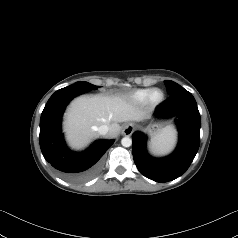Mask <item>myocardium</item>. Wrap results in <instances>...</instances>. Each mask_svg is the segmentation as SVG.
I'll return each instance as SVG.
<instances>
[{"label":"myocardium","instance_id":"f54148a6","mask_svg":"<svg viewBox=\"0 0 238 238\" xmlns=\"http://www.w3.org/2000/svg\"><path fill=\"white\" fill-rule=\"evenodd\" d=\"M160 94V98L159 99H155L154 96L156 94ZM165 99V94L164 92L159 89V88H155V89H152L151 92L149 93L148 97H147V104L151 107H157L159 106L160 104H162V102L164 101Z\"/></svg>","mask_w":238,"mask_h":238}]
</instances>
